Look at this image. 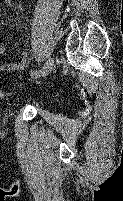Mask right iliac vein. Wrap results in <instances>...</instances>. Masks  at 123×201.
Listing matches in <instances>:
<instances>
[{"instance_id":"63e3f726","label":"right iliac vein","mask_w":123,"mask_h":201,"mask_svg":"<svg viewBox=\"0 0 123 201\" xmlns=\"http://www.w3.org/2000/svg\"><path fill=\"white\" fill-rule=\"evenodd\" d=\"M53 64H54V59L49 58L46 61L45 65L43 66L41 74L37 78H45L50 73L53 67Z\"/></svg>"}]
</instances>
